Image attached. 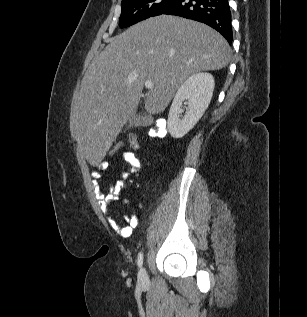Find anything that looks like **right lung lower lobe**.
Segmentation results:
<instances>
[{"label":"right lung lower lobe","mask_w":307,"mask_h":317,"mask_svg":"<svg viewBox=\"0 0 307 317\" xmlns=\"http://www.w3.org/2000/svg\"><path fill=\"white\" fill-rule=\"evenodd\" d=\"M162 14L196 20L217 30L232 43L231 12L228 0H175Z\"/></svg>","instance_id":"right-lung-lower-lobe-1"}]
</instances>
